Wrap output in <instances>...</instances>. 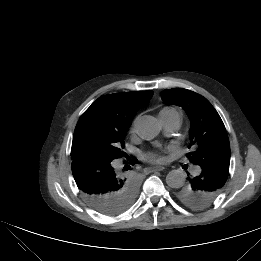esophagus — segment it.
I'll list each match as a JSON object with an SVG mask.
<instances>
[{"label": "esophagus", "mask_w": 261, "mask_h": 261, "mask_svg": "<svg viewBox=\"0 0 261 261\" xmlns=\"http://www.w3.org/2000/svg\"><path fill=\"white\" fill-rule=\"evenodd\" d=\"M162 170H164V167L157 166V167L146 168V169L144 170V172H145L146 174H148V173H151V172H157V171H162Z\"/></svg>", "instance_id": "34e87169"}]
</instances>
